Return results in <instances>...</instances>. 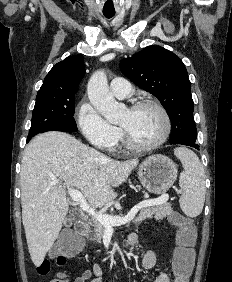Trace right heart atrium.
Segmentation results:
<instances>
[{"label":"right heart atrium","instance_id":"right-heart-atrium-1","mask_svg":"<svg viewBox=\"0 0 232 282\" xmlns=\"http://www.w3.org/2000/svg\"><path fill=\"white\" fill-rule=\"evenodd\" d=\"M76 121L82 135L91 145L106 151L114 150L120 139V130L109 123L87 99L79 103Z\"/></svg>","mask_w":232,"mask_h":282}]
</instances>
